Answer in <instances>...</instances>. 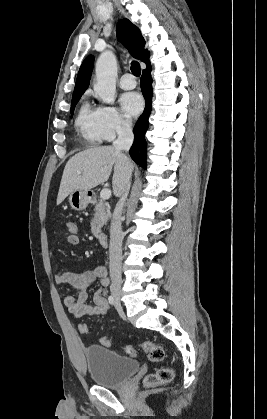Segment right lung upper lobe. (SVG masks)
<instances>
[{"mask_svg":"<svg viewBox=\"0 0 267 419\" xmlns=\"http://www.w3.org/2000/svg\"><path fill=\"white\" fill-rule=\"evenodd\" d=\"M118 39L126 45L131 55L149 66V52L144 50L145 40L138 27L131 23L127 18L121 19L116 28ZM94 56L89 55L81 64L78 72L73 97L82 95L89 86Z\"/></svg>","mask_w":267,"mask_h":419,"instance_id":"1","label":"right lung upper lobe"}]
</instances>
